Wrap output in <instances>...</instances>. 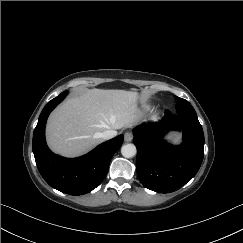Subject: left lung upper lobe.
Returning a JSON list of instances; mask_svg holds the SVG:
<instances>
[{"label":"left lung upper lobe","instance_id":"1","mask_svg":"<svg viewBox=\"0 0 243 243\" xmlns=\"http://www.w3.org/2000/svg\"><path fill=\"white\" fill-rule=\"evenodd\" d=\"M176 112L177 114L187 115L190 117H197V114L192 105L185 99L175 96Z\"/></svg>","mask_w":243,"mask_h":243}]
</instances>
